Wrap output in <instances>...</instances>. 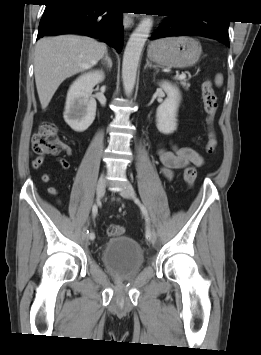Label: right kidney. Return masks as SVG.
<instances>
[{"mask_svg":"<svg viewBox=\"0 0 261 355\" xmlns=\"http://www.w3.org/2000/svg\"><path fill=\"white\" fill-rule=\"evenodd\" d=\"M102 71H91L81 75L70 86L64 119L76 132H84L93 123L96 115V100L92 97L93 88L104 80Z\"/></svg>","mask_w":261,"mask_h":355,"instance_id":"ca27d5eb","label":"right kidney"}]
</instances>
